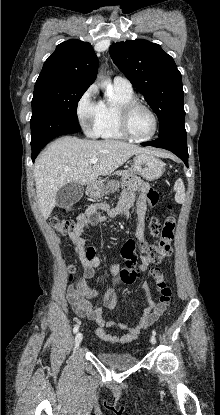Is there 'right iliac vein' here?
Here are the masks:
<instances>
[{
    "mask_svg": "<svg viewBox=\"0 0 220 415\" xmlns=\"http://www.w3.org/2000/svg\"><path fill=\"white\" fill-rule=\"evenodd\" d=\"M82 339H83V334L81 332H78L76 334V337H75V348H78L79 347V345L82 342Z\"/></svg>",
    "mask_w": 220,
    "mask_h": 415,
    "instance_id": "obj_1",
    "label": "right iliac vein"
}]
</instances>
